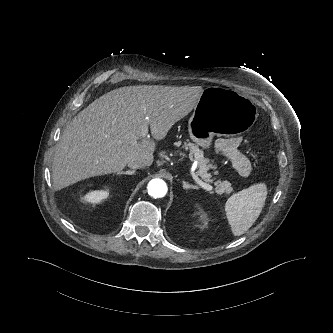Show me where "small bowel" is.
I'll return each instance as SVG.
<instances>
[{"label": "small bowel", "mask_w": 333, "mask_h": 333, "mask_svg": "<svg viewBox=\"0 0 333 333\" xmlns=\"http://www.w3.org/2000/svg\"><path fill=\"white\" fill-rule=\"evenodd\" d=\"M242 140L239 137L220 138L215 142L216 152L228 161L231 170L240 177H248L251 164L241 152Z\"/></svg>", "instance_id": "obj_1"}]
</instances>
